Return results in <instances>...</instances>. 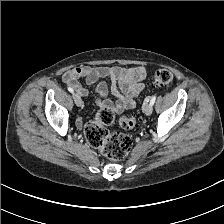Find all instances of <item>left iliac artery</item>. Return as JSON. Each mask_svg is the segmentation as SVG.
Listing matches in <instances>:
<instances>
[{"label":"left iliac artery","instance_id":"44dca946","mask_svg":"<svg viewBox=\"0 0 224 224\" xmlns=\"http://www.w3.org/2000/svg\"><path fill=\"white\" fill-rule=\"evenodd\" d=\"M155 100H156V95H153L151 97L150 103L153 105L155 103Z\"/></svg>","mask_w":224,"mask_h":224}]
</instances>
